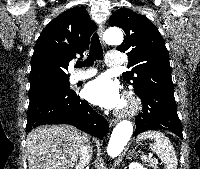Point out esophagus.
<instances>
[{"label":"esophagus","instance_id":"34e87169","mask_svg":"<svg viewBox=\"0 0 200 169\" xmlns=\"http://www.w3.org/2000/svg\"><path fill=\"white\" fill-rule=\"evenodd\" d=\"M104 29H105L104 24H102V23L99 24V26H98V34H99L100 39L102 40V42H103ZM116 123H117V120H115V119H110L109 120L110 126H114Z\"/></svg>","mask_w":200,"mask_h":169}]
</instances>
